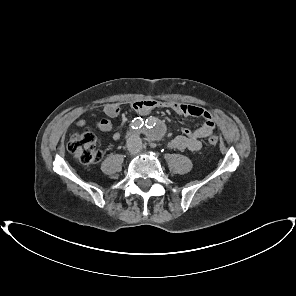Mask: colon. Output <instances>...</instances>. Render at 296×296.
<instances>
[{"label":"colon","instance_id":"1","mask_svg":"<svg viewBox=\"0 0 296 296\" xmlns=\"http://www.w3.org/2000/svg\"><path fill=\"white\" fill-rule=\"evenodd\" d=\"M208 145L216 146L218 138L210 136L207 140ZM68 150L78 161L84 164H93L101 160L102 153L97 148V139L94 132L85 129L74 133L68 141Z\"/></svg>","mask_w":296,"mask_h":296}]
</instances>
